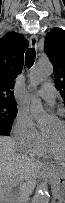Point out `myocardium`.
Listing matches in <instances>:
<instances>
[{"mask_svg":"<svg viewBox=\"0 0 65 203\" xmlns=\"http://www.w3.org/2000/svg\"><path fill=\"white\" fill-rule=\"evenodd\" d=\"M63 126L65 127V121L61 122ZM46 143L48 146V149L50 153L55 157V158H65V153H60L58 149L56 148L55 143L50 140L48 137H46Z\"/></svg>","mask_w":65,"mask_h":203,"instance_id":"myocardium-1","label":"myocardium"}]
</instances>
